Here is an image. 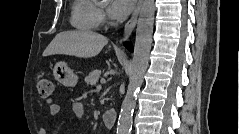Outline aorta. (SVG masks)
Masks as SVG:
<instances>
[{"label":"aorta","instance_id":"obj_1","mask_svg":"<svg viewBox=\"0 0 239 134\" xmlns=\"http://www.w3.org/2000/svg\"><path fill=\"white\" fill-rule=\"evenodd\" d=\"M155 10L154 0H143L136 29L129 84L126 96L121 105L117 134H130L132 128V115L135 107L136 93L142 85L143 77L148 67Z\"/></svg>","mask_w":239,"mask_h":134}]
</instances>
